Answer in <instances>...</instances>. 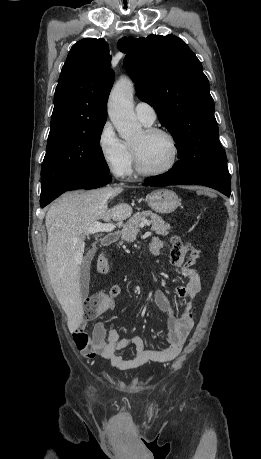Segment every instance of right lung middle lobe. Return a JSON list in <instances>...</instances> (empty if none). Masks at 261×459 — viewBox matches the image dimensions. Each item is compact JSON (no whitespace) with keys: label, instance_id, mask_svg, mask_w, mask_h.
<instances>
[{"label":"right lung middle lobe","instance_id":"obj_1","mask_svg":"<svg viewBox=\"0 0 261 459\" xmlns=\"http://www.w3.org/2000/svg\"><path fill=\"white\" fill-rule=\"evenodd\" d=\"M104 125L48 136L41 167V198L71 179L109 174L99 146Z\"/></svg>","mask_w":261,"mask_h":459}]
</instances>
